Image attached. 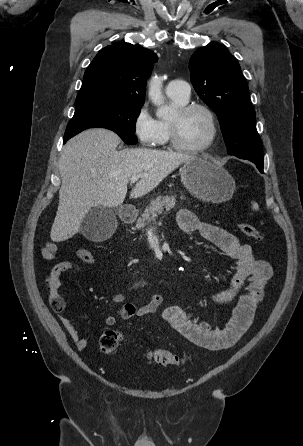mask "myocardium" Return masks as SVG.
Masks as SVG:
<instances>
[{
	"mask_svg": "<svg viewBox=\"0 0 303 446\" xmlns=\"http://www.w3.org/2000/svg\"><path fill=\"white\" fill-rule=\"evenodd\" d=\"M195 110H200V111L204 112L205 115L207 116L209 124H210V135H209L208 139L203 144H201L199 146H195V147L186 146L183 143H181L179 140L177 122L173 121V120H169L168 121L169 143L174 149H176L180 152L191 153V154L204 152L213 145V143L215 142V140L217 138L218 125H217L216 117H215L214 112L207 105L202 104V103H186L185 105L178 107L176 112L179 117H183Z\"/></svg>",
	"mask_w": 303,
	"mask_h": 446,
	"instance_id": "1",
	"label": "myocardium"
}]
</instances>
